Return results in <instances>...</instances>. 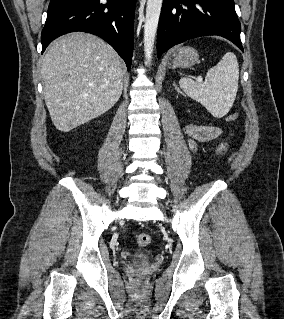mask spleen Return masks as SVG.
<instances>
[{
	"label": "spleen",
	"mask_w": 284,
	"mask_h": 319,
	"mask_svg": "<svg viewBox=\"0 0 284 319\" xmlns=\"http://www.w3.org/2000/svg\"><path fill=\"white\" fill-rule=\"evenodd\" d=\"M239 81V65L234 53L227 52L206 74L204 82L182 77L180 88L201 103L216 118L225 116L232 107Z\"/></svg>",
	"instance_id": "3e777b00"
}]
</instances>
